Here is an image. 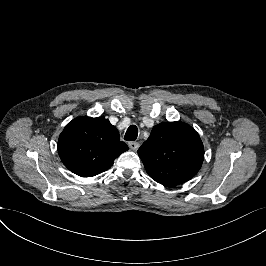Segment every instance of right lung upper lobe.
Returning <instances> with one entry per match:
<instances>
[{
    "instance_id": "obj_1",
    "label": "right lung upper lobe",
    "mask_w": 266,
    "mask_h": 266,
    "mask_svg": "<svg viewBox=\"0 0 266 266\" xmlns=\"http://www.w3.org/2000/svg\"><path fill=\"white\" fill-rule=\"evenodd\" d=\"M128 150L119 132L108 119L77 117L62 131L58 152L64 165L81 177L108 170L114 160Z\"/></svg>"
}]
</instances>
